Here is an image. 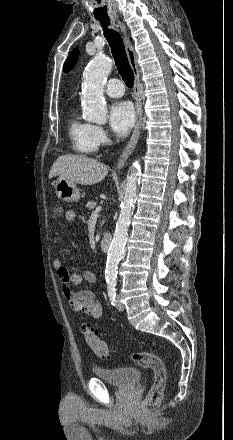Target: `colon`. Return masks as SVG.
<instances>
[{
	"label": "colon",
	"mask_w": 233,
	"mask_h": 440,
	"mask_svg": "<svg viewBox=\"0 0 233 440\" xmlns=\"http://www.w3.org/2000/svg\"><path fill=\"white\" fill-rule=\"evenodd\" d=\"M63 212L62 206L56 204L54 206L53 215L56 218L61 217ZM82 333L85 341L88 343L93 353L101 359L111 358V349L108 344L103 341L98 331L89 324L82 325ZM131 359L138 365L151 369L154 374V383L147 397L141 403L140 409L143 412L154 410L162 401L164 388L166 384V371L162 359L152 353L145 351H136L131 355Z\"/></svg>",
	"instance_id": "5ec220e1"
}]
</instances>
